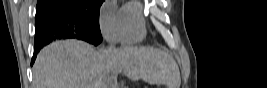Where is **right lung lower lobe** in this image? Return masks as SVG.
<instances>
[{
  "label": "right lung lower lobe",
  "instance_id": "obj_1",
  "mask_svg": "<svg viewBox=\"0 0 267 88\" xmlns=\"http://www.w3.org/2000/svg\"><path fill=\"white\" fill-rule=\"evenodd\" d=\"M37 8L32 62L43 46L58 38L81 39L94 45H98L102 41L100 31L90 29L84 23L75 21L57 10L47 9L43 6Z\"/></svg>",
  "mask_w": 267,
  "mask_h": 88
}]
</instances>
